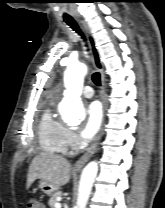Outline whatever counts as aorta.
<instances>
[{
    "instance_id": "obj_1",
    "label": "aorta",
    "mask_w": 165,
    "mask_h": 208,
    "mask_svg": "<svg viewBox=\"0 0 165 208\" xmlns=\"http://www.w3.org/2000/svg\"><path fill=\"white\" fill-rule=\"evenodd\" d=\"M86 73L87 67L82 63L69 64L67 67L66 90L64 98L59 104L62 118L67 123L79 122L85 116L80 96ZM97 172L98 164L95 161L88 163L83 169L75 208H86Z\"/></svg>"
}]
</instances>
